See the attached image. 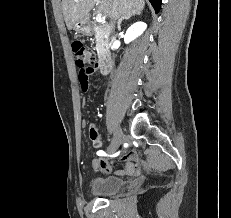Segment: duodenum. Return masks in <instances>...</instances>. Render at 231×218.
<instances>
[{
  "instance_id": "1",
  "label": "duodenum",
  "mask_w": 231,
  "mask_h": 218,
  "mask_svg": "<svg viewBox=\"0 0 231 218\" xmlns=\"http://www.w3.org/2000/svg\"><path fill=\"white\" fill-rule=\"evenodd\" d=\"M102 30H104V29H102ZM98 65H99L98 66L99 71L102 74H107L111 71L113 62H112V59L110 56L104 54L101 56V59H100Z\"/></svg>"
}]
</instances>
